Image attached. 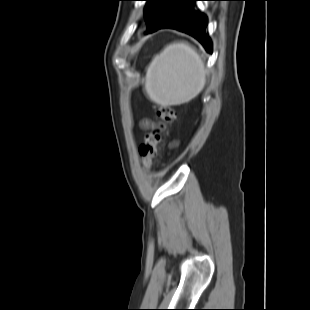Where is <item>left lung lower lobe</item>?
<instances>
[{"label":"left lung lower lobe","instance_id":"1","mask_svg":"<svg viewBox=\"0 0 310 310\" xmlns=\"http://www.w3.org/2000/svg\"><path fill=\"white\" fill-rule=\"evenodd\" d=\"M189 4L176 16V18L163 28H172L192 35L199 40L208 52H211V41L206 34L207 19L194 9V2Z\"/></svg>","mask_w":310,"mask_h":310}]
</instances>
